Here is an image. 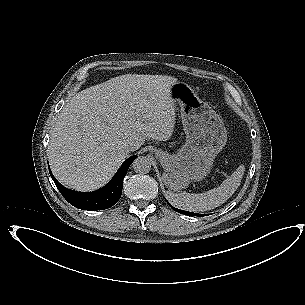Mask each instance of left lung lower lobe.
<instances>
[{
  "instance_id": "1",
  "label": "left lung lower lobe",
  "mask_w": 305,
  "mask_h": 305,
  "mask_svg": "<svg viewBox=\"0 0 305 305\" xmlns=\"http://www.w3.org/2000/svg\"><path fill=\"white\" fill-rule=\"evenodd\" d=\"M171 208H173V210H175L176 212H179L181 214H186V215H191V216H205V214H197V213H192V212H186V211H183V210H179V209L174 208L173 206H171Z\"/></svg>"
}]
</instances>
